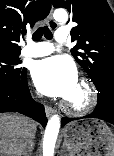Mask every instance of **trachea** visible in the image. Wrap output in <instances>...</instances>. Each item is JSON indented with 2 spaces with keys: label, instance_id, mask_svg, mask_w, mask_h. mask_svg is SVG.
Wrapping results in <instances>:
<instances>
[{
  "label": "trachea",
  "instance_id": "3493384b",
  "mask_svg": "<svg viewBox=\"0 0 114 156\" xmlns=\"http://www.w3.org/2000/svg\"><path fill=\"white\" fill-rule=\"evenodd\" d=\"M43 35L48 40L53 38V34L47 26L38 28L32 35V38L34 41H39Z\"/></svg>",
  "mask_w": 114,
  "mask_h": 156
}]
</instances>
